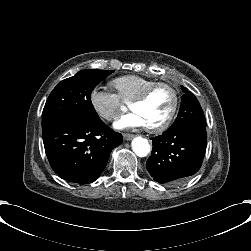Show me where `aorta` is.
<instances>
[{
	"instance_id": "762f6f07",
	"label": "aorta",
	"mask_w": 251,
	"mask_h": 251,
	"mask_svg": "<svg viewBox=\"0 0 251 251\" xmlns=\"http://www.w3.org/2000/svg\"><path fill=\"white\" fill-rule=\"evenodd\" d=\"M131 147L136 155L140 157L147 156L150 151V144L147 139L142 136H136L131 141Z\"/></svg>"
}]
</instances>
